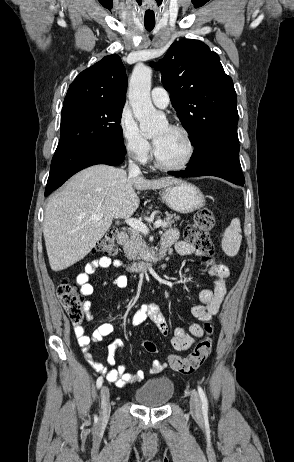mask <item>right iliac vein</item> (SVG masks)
<instances>
[{"instance_id": "1", "label": "right iliac vein", "mask_w": 294, "mask_h": 462, "mask_svg": "<svg viewBox=\"0 0 294 462\" xmlns=\"http://www.w3.org/2000/svg\"><path fill=\"white\" fill-rule=\"evenodd\" d=\"M110 392L107 386L101 389V420H106L110 415Z\"/></svg>"}]
</instances>
